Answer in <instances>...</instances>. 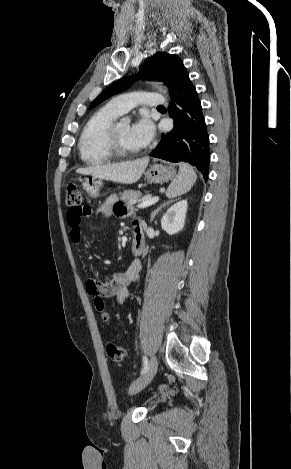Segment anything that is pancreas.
Here are the masks:
<instances>
[{
	"mask_svg": "<svg viewBox=\"0 0 291 469\" xmlns=\"http://www.w3.org/2000/svg\"><path fill=\"white\" fill-rule=\"evenodd\" d=\"M141 192L128 190L120 193V198L124 201L128 206H132L136 203V201L141 197Z\"/></svg>",
	"mask_w": 291,
	"mask_h": 469,
	"instance_id": "1",
	"label": "pancreas"
}]
</instances>
